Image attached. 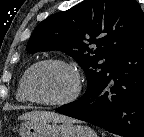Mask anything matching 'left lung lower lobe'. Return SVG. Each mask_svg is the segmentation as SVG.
<instances>
[{"instance_id": "0a47b994", "label": "left lung lower lobe", "mask_w": 144, "mask_h": 137, "mask_svg": "<svg viewBox=\"0 0 144 137\" xmlns=\"http://www.w3.org/2000/svg\"><path fill=\"white\" fill-rule=\"evenodd\" d=\"M56 112L123 137H144V27L94 89Z\"/></svg>"}]
</instances>
